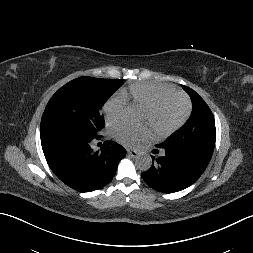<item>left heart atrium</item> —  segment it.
<instances>
[{
  "mask_svg": "<svg viewBox=\"0 0 253 253\" xmlns=\"http://www.w3.org/2000/svg\"><path fill=\"white\" fill-rule=\"evenodd\" d=\"M112 134L118 142L127 146H135L140 141L150 138L152 133L148 126H116Z\"/></svg>",
  "mask_w": 253,
  "mask_h": 253,
  "instance_id": "obj_1",
  "label": "left heart atrium"
}]
</instances>
